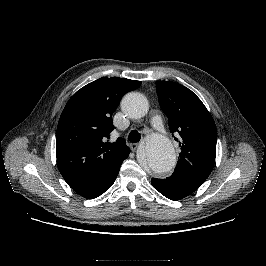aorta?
Wrapping results in <instances>:
<instances>
[{
    "label": "aorta",
    "mask_w": 266,
    "mask_h": 266,
    "mask_svg": "<svg viewBox=\"0 0 266 266\" xmlns=\"http://www.w3.org/2000/svg\"><path fill=\"white\" fill-rule=\"evenodd\" d=\"M121 107L131 118L145 116L149 108L146 97L136 92L127 94L122 100ZM139 163L155 174L163 175L170 172L176 164V154L170 140L161 134L150 135L139 154Z\"/></svg>",
    "instance_id": "762f6f07"
}]
</instances>
